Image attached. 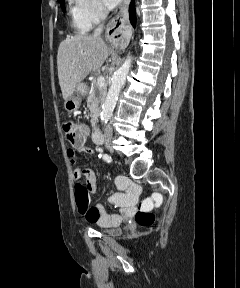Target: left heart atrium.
Segmentation results:
<instances>
[{"label":"left heart atrium","instance_id":"left-heart-atrium-1","mask_svg":"<svg viewBox=\"0 0 240 288\" xmlns=\"http://www.w3.org/2000/svg\"><path fill=\"white\" fill-rule=\"evenodd\" d=\"M109 8L115 7L121 0H103Z\"/></svg>","mask_w":240,"mask_h":288}]
</instances>
